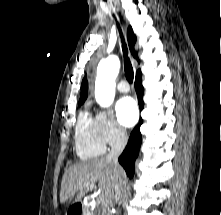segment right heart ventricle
<instances>
[{
    "instance_id": "1",
    "label": "right heart ventricle",
    "mask_w": 221,
    "mask_h": 215,
    "mask_svg": "<svg viewBox=\"0 0 221 215\" xmlns=\"http://www.w3.org/2000/svg\"><path fill=\"white\" fill-rule=\"evenodd\" d=\"M75 147L77 155L83 160L98 157L105 151V145L97 135L94 120L87 113L79 115L75 130Z\"/></svg>"
}]
</instances>
